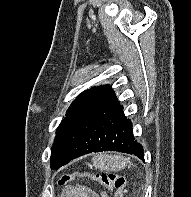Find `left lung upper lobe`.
<instances>
[{
	"instance_id": "5c2ea615",
	"label": "left lung upper lobe",
	"mask_w": 191,
	"mask_h": 197,
	"mask_svg": "<svg viewBox=\"0 0 191 197\" xmlns=\"http://www.w3.org/2000/svg\"><path fill=\"white\" fill-rule=\"evenodd\" d=\"M111 91V88L109 85L105 86H97L93 87L89 90L84 91L81 93L71 104L69 107L66 117L62 120L60 123L53 147L51 148V158H50V166L52 169H56L60 163L67 158L71 152L73 151V148H71L70 143H68L67 139V129L69 126V123L72 121V117L74 115V112L79 107L81 103H83L85 100H88L90 98H100L104 94Z\"/></svg>"
}]
</instances>
